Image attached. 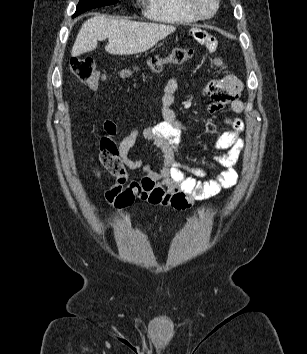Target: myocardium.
Masks as SVG:
<instances>
[{
	"label": "myocardium",
	"mask_w": 307,
	"mask_h": 354,
	"mask_svg": "<svg viewBox=\"0 0 307 354\" xmlns=\"http://www.w3.org/2000/svg\"><path fill=\"white\" fill-rule=\"evenodd\" d=\"M186 8L196 19H209L213 17L219 9L220 0H213V6L207 13L202 12L197 4V0H185Z\"/></svg>",
	"instance_id": "1"
}]
</instances>
